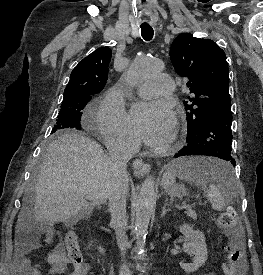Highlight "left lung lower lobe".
Masks as SVG:
<instances>
[{
  "label": "left lung lower lobe",
  "mask_w": 263,
  "mask_h": 275,
  "mask_svg": "<svg viewBox=\"0 0 263 275\" xmlns=\"http://www.w3.org/2000/svg\"><path fill=\"white\" fill-rule=\"evenodd\" d=\"M232 113L231 110L219 111L206 120L204 125L195 133L188 134L187 144L174 155L185 157L189 155H206L229 161L235 166L232 157Z\"/></svg>",
  "instance_id": "0a47b994"
}]
</instances>
